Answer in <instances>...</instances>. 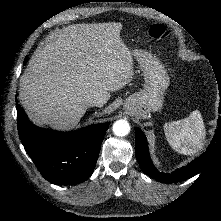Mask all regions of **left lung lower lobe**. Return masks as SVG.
I'll return each instance as SVG.
<instances>
[{"label": "left lung lower lobe", "mask_w": 221, "mask_h": 221, "mask_svg": "<svg viewBox=\"0 0 221 221\" xmlns=\"http://www.w3.org/2000/svg\"><path fill=\"white\" fill-rule=\"evenodd\" d=\"M219 113L221 114V94ZM135 135L136 159L144 173L162 183L178 182L193 177L194 175L198 174L205 166L209 156L215 148L214 145L216 146V144L221 141V116L218 118L217 132L214 136V139L212 140V143L207 148V151L204 152L199 158L193 160L186 167L177 169L172 173H162L155 168L149 155L147 139L144 133L139 128H135Z\"/></svg>", "instance_id": "left-lung-lower-lobe-1"}]
</instances>
